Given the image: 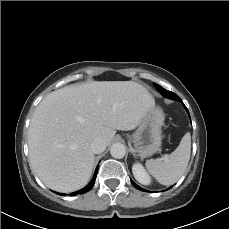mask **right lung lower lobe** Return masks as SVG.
Masks as SVG:
<instances>
[{
  "label": "right lung lower lobe",
  "mask_w": 229,
  "mask_h": 229,
  "mask_svg": "<svg viewBox=\"0 0 229 229\" xmlns=\"http://www.w3.org/2000/svg\"><path fill=\"white\" fill-rule=\"evenodd\" d=\"M98 167H99V166H97L96 171H95V173H94V176H93L91 182H90L85 188L79 190L78 192L72 193L73 196H75V195H77V194L86 193L87 191H89V190L92 188V186H93L94 183H95V179H96V176H97ZM57 194L62 195V196L64 195V194H62V193H57Z\"/></svg>",
  "instance_id": "right-lung-lower-lobe-1"
}]
</instances>
